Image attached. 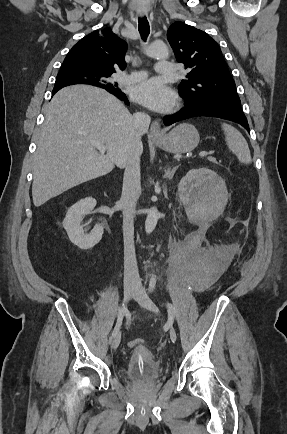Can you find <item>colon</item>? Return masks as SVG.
Wrapping results in <instances>:
<instances>
[{
    "label": "colon",
    "mask_w": 287,
    "mask_h": 434,
    "mask_svg": "<svg viewBox=\"0 0 287 434\" xmlns=\"http://www.w3.org/2000/svg\"><path fill=\"white\" fill-rule=\"evenodd\" d=\"M129 347L131 348H139V347H143L144 342L141 339H133L129 342Z\"/></svg>",
    "instance_id": "1"
}]
</instances>
